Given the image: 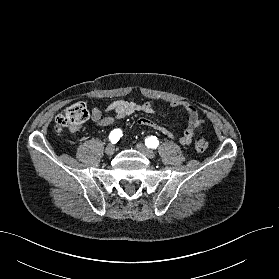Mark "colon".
<instances>
[{"label":"colon","mask_w":279,"mask_h":279,"mask_svg":"<svg viewBox=\"0 0 279 279\" xmlns=\"http://www.w3.org/2000/svg\"><path fill=\"white\" fill-rule=\"evenodd\" d=\"M89 117V111L84 103H75L60 114L55 119V129L57 132L64 130L76 131ZM198 132L201 134L202 129L199 128ZM208 147V142L203 135L198 136L195 141V148L199 152H203Z\"/></svg>","instance_id":"1"}]
</instances>
